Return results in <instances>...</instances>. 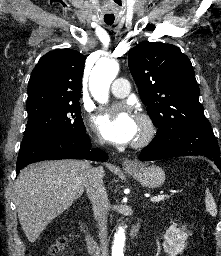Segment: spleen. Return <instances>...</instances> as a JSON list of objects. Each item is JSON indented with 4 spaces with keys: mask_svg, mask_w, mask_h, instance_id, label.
<instances>
[{
    "mask_svg": "<svg viewBox=\"0 0 221 256\" xmlns=\"http://www.w3.org/2000/svg\"><path fill=\"white\" fill-rule=\"evenodd\" d=\"M205 204L206 210L210 213V215L215 217L217 215V207L213 196L210 194L208 189L206 190Z\"/></svg>",
    "mask_w": 221,
    "mask_h": 256,
    "instance_id": "spleen-1",
    "label": "spleen"
}]
</instances>
